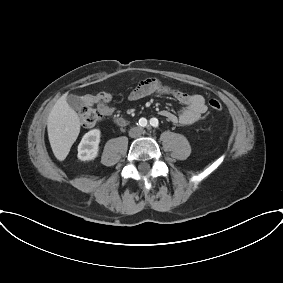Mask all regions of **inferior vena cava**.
<instances>
[{"instance_id":"602c4592","label":"inferior vena cava","mask_w":283,"mask_h":283,"mask_svg":"<svg viewBox=\"0 0 283 283\" xmlns=\"http://www.w3.org/2000/svg\"><path fill=\"white\" fill-rule=\"evenodd\" d=\"M142 129L139 127H134L132 129H130L129 131V136L130 137H136L137 135H139L141 133Z\"/></svg>"}]
</instances>
